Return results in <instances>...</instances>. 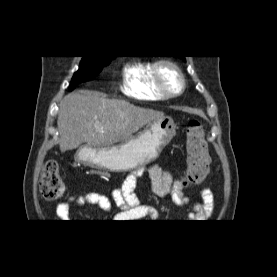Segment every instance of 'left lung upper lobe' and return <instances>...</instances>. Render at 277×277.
<instances>
[{"label":"left lung upper lobe","mask_w":277,"mask_h":277,"mask_svg":"<svg viewBox=\"0 0 277 277\" xmlns=\"http://www.w3.org/2000/svg\"><path fill=\"white\" fill-rule=\"evenodd\" d=\"M181 58H182V59H183V60L185 61V58H184V56H182Z\"/></svg>","instance_id":"left-lung-upper-lobe-1"}]
</instances>
